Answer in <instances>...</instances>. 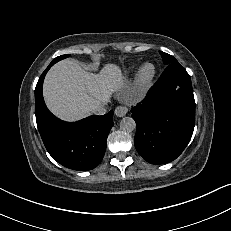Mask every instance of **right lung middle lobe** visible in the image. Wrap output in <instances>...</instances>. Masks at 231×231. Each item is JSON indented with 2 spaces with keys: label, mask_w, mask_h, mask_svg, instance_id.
Segmentation results:
<instances>
[{
  "label": "right lung middle lobe",
  "mask_w": 231,
  "mask_h": 231,
  "mask_svg": "<svg viewBox=\"0 0 231 231\" xmlns=\"http://www.w3.org/2000/svg\"><path fill=\"white\" fill-rule=\"evenodd\" d=\"M69 56H70L69 54L62 55V56L56 57V58L54 59V61H55V62H58V61H60V60H62V59H64V58H67V57H69Z\"/></svg>",
  "instance_id": "dd1d6c3e"
}]
</instances>
